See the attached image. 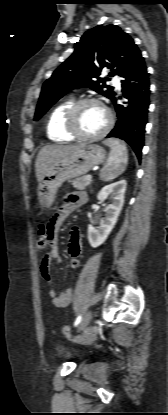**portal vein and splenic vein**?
<instances>
[{
	"mask_svg": "<svg viewBox=\"0 0 168 415\" xmlns=\"http://www.w3.org/2000/svg\"><path fill=\"white\" fill-rule=\"evenodd\" d=\"M92 179V176L91 175H87L86 176V180H91Z\"/></svg>",
	"mask_w": 168,
	"mask_h": 415,
	"instance_id": "portal-vein-and-splenic-vein-1",
	"label": "portal vein and splenic vein"
}]
</instances>
